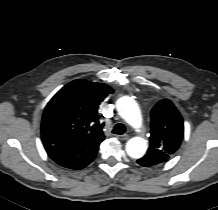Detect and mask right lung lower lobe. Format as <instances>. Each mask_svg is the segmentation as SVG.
Returning a JSON list of instances; mask_svg holds the SVG:
<instances>
[{"label":"right lung lower lobe","mask_w":218,"mask_h":210,"mask_svg":"<svg viewBox=\"0 0 218 210\" xmlns=\"http://www.w3.org/2000/svg\"><path fill=\"white\" fill-rule=\"evenodd\" d=\"M103 139L80 141L59 134H44L42 142L49 157L58 165L74 170L82 169L95 158Z\"/></svg>","instance_id":"1"}]
</instances>
